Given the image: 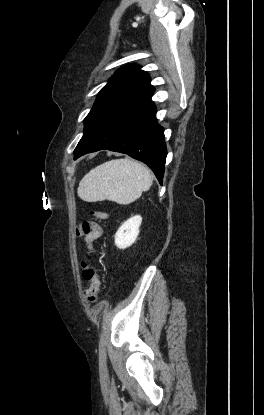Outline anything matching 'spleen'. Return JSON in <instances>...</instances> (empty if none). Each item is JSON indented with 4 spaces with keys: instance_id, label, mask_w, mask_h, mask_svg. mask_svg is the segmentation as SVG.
I'll use <instances>...</instances> for the list:
<instances>
[{
    "instance_id": "1",
    "label": "spleen",
    "mask_w": 264,
    "mask_h": 415,
    "mask_svg": "<svg viewBox=\"0 0 264 415\" xmlns=\"http://www.w3.org/2000/svg\"><path fill=\"white\" fill-rule=\"evenodd\" d=\"M153 184V175L131 159H113L91 169L80 181L78 196L86 202L103 200L130 204Z\"/></svg>"
}]
</instances>
